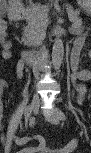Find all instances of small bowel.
<instances>
[{
  "label": "small bowel",
  "instance_id": "obj_1",
  "mask_svg": "<svg viewBox=\"0 0 91 153\" xmlns=\"http://www.w3.org/2000/svg\"><path fill=\"white\" fill-rule=\"evenodd\" d=\"M0 35L2 37H4L6 35L5 28H3L2 31H0ZM73 61H74L73 62V65H74L73 76L76 78V77L79 76V71L77 70V68L75 66L76 65V58H74ZM18 74H19V76L22 75V67H19ZM77 89H78V92H79V100L83 101L84 97H85V89L82 86H77ZM1 140H2L3 143H5L4 135H2ZM13 140L17 145H23L28 141L27 138H22V137H18V136H14ZM38 140H39V147L38 148L25 149L23 152L24 153H33V152L41 151V152H45V153H72L78 147V141L77 140H72L70 143H68L63 148H58V149L49 148L46 145L45 140L41 137H39Z\"/></svg>",
  "mask_w": 91,
  "mask_h": 153
}]
</instances>
